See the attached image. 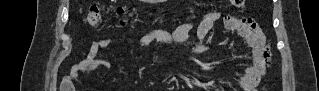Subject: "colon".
<instances>
[{
	"mask_svg": "<svg viewBox=\"0 0 319 91\" xmlns=\"http://www.w3.org/2000/svg\"><path fill=\"white\" fill-rule=\"evenodd\" d=\"M230 3L238 8H242L244 6V0H231ZM128 8L126 7H117L114 9V11L118 14L124 13L127 11ZM108 8L99 4L91 5L88 10L85 13L84 16V22L92 27V28H97L100 27L104 24V16L107 12ZM251 20V19H250ZM252 21V20H251ZM121 26H128L132 25L131 22L128 21H122L120 22ZM269 58V52L266 50V60Z\"/></svg>",
	"mask_w": 319,
	"mask_h": 91,
	"instance_id": "obj_1",
	"label": "colon"
}]
</instances>
